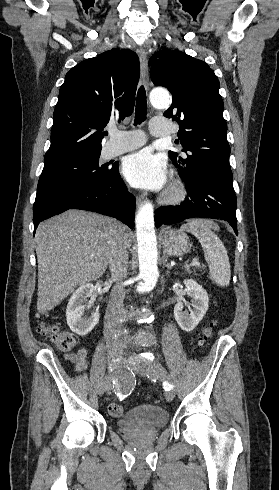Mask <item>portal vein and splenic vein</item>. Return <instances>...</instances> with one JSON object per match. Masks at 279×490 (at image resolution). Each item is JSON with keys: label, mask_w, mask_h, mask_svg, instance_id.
<instances>
[{"label": "portal vein and splenic vein", "mask_w": 279, "mask_h": 490, "mask_svg": "<svg viewBox=\"0 0 279 490\" xmlns=\"http://www.w3.org/2000/svg\"><path fill=\"white\" fill-rule=\"evenodd\" d=\"M190 266H200L198 260H192Z\"/></svg>", "instance_id": "portal-vein-and-splenic-vein-1"}]
</instances>
